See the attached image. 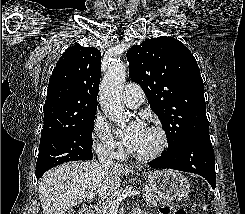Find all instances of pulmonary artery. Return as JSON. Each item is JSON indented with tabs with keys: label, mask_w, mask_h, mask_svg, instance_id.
Here are the masks:
<instances>
[{
	"label": "pulmonary artery",
	"mask_w": 245,
	"mask_h": 214,
	"mask_svg": "<svg viewBox=\"0 0 245 214\" xmlns=\"http://www.w3.org/2000/svg\"><path fill=\"white\" fill-rule=\"evenodd\" d=\"M122 99L128 107L137 108L144 102L145 95L138 84L129 83L123 89Z\"/></svg>",
	"instance_id": "1"
}]
</instances>
